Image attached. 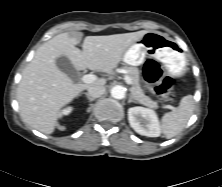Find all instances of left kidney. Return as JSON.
Masks as SVG:
<instances>
[{
    "label": "left kidney",
    "mask_w": 222,
    "mask_h": 187,
    "mask_svg": "<svg viewBox=\"0 0 222 187\" xmlns=\"http://www.w3.org/2000/svg\"><path fill=\"white\" fill-rule=\"evenodd\" d=\"M130 126L140 135L147 137H159L161 126L155 111L136 106L128 109Z\"/></svg>",
    "instance_id": "obj_1"
}]
</instances>
